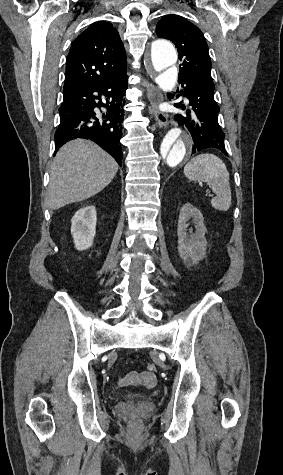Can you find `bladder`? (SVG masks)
Here are the masks:
<instances>
[{
  "label": "bladder",
  "instance_id": "1",
  "mask_svg": "<svg viewBox=\"0 0 283 475\" xmlns=\"http://www.w3.org/2000/svg\"><path fill=\"white\" fill-rule=\"evenodd\" d=\"M127 398H129L130 400L137 399L135 395H129V394H127Z\"/></svg>",
  "mask_w": 283,
  "mask_h": 475
}]
</instances>
